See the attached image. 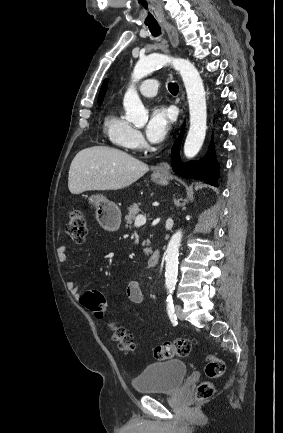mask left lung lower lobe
<instances>
[{"label": "left lung lower lobe", "mask_w": 283, "mask_h": 433, "mask_svg": "<svg viewBox=\"0 0 283 433\" xmlns=\"http://www.w3.org/2000/svg\"><path fill=\"white\" fill-rule=\"evenodd\" d=\"M184 128V127H183ZM184 129L172 148V167L174 172L183 178H195L204 180L214 186H218L219 165L215 160L213 139L209 145L206 155L199 161L181 163L179 158L180 144L183 138Z\"/></svg>", "instance_id": "left-lung-lower-lobe-1"}]
</instances>
